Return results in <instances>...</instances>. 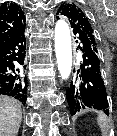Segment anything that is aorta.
I'll return each mask as SVG.
<instances>
[{"mask_svg":"<svg viewBox=\"0 0 117 136\" xmlns=\"http://www.w3.org/2000/svg\"><path fill=\"white\" fill-rule=\"evenodd\" d=\"M55 52L58 70L62 79H68L72 69L71 34L68 23L60 19L55 25Z\"/></svg>","mask_w":117,"mask_h":136,"instance_id":"762f6f07","label":"aorta"}]
</instances>
